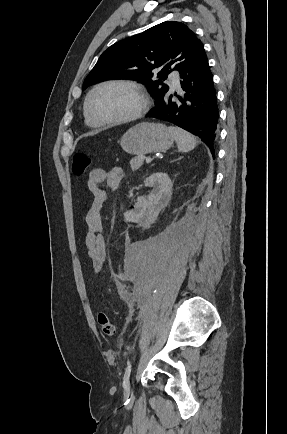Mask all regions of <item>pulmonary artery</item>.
<instances>
[{
    "label": "pulmonary artery",
    "mask_w": 287,
    "mask_h": 434,
    "mask_svg": "<svg viewBox=\"0 0 287 434\" xmlns=\"http://www.w3.org/2000/svg\"><path fill=\"white\" fill-rule=\"evenodd\" d=\"M168 81L172 85L173 88H175V89L180 88L179 77L176 73H171L169 75Z\"/></svg>",
    "instance_id": "1"
}]
</instances>
